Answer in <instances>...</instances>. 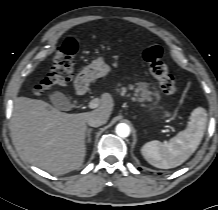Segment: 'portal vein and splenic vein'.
Listing matches in <instances>:
<instances>
[{"label": "portal vein and splenic vein", "instance_id": "18ae733b", "mask_svg": "<svg viewBox=\"0 0 218 210\" xmlns=\"http://www.w3.org/2000/svg\"><path fill=\"white\" fill-rule=\"evenodd\" d=\"M99 104H100V99L95 98V99H93V100H91V101L89 102L88 107H89L90 109H94V108H97V107L99 106Z\"/></svg>", "mask_w": 218, "mask_h": 210}]
</instances>
